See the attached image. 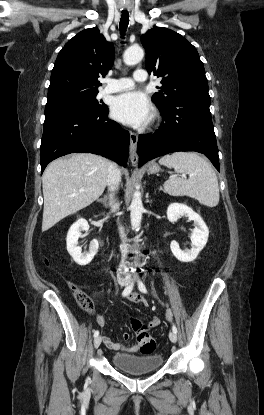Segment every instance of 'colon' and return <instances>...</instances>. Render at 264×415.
Segmentation results:
<instances>
[{"instance_id":"1","label":"colon","mask_w":264,"mask_h":415,"mask_svg":"<svg viewBox=\"0 0 264 415\" xmlns=\"http://www.w3.org/2000/svg\"><path fill=\"white\" fill-rule=\"evenodd\" d=\"M75 298L79 304V306L85 311H92L93 305L92 301L87 293L81 290H77L75 292ZM136 326L138 328L137 332V340L139 343L142 344L144 351L149 354L154 352L156 349V343L154 339L146 332L141 330L140 325L141 322L139 320H135Z\"/></svg>"}]
</instances>
